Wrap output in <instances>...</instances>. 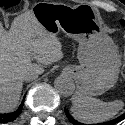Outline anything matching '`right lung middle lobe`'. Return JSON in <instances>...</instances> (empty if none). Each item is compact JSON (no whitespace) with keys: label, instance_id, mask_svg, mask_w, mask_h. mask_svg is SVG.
Here are the masks:
<instances>
[{"label":"right lung middle lobe","instance_id":"1","mask_svg":"<svg viewBox=\"0 0 125 125\" xmlns=\"http://www.w3.org/2000/svg\"><path fill=\"white\" fill-rule=\"evenodd\" d=\"M2 1H4V2L3 3L0 2V5L8 6V7L14 6L20 2V0H2Z\"/></svg>","mask_w":125,"mask_h":125}]
</instances>
